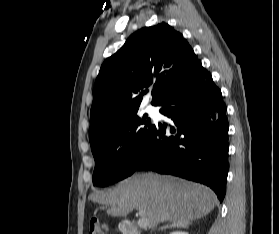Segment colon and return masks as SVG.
Returning <instances> with one entry per match:
<instances>
[{"mask_svg": "<svg viewBox=\"0 0 279 234\" xmlns=\"http://www.w3.org/2000/svg\"><path fill=\"white\" fill-rule=\"evenodd\" d=\"M107 232L108 226L104 221L98 218L91 219L88 226V234H107Z\"/></svg>", "mask_w": 279, "mask_h": 234, "instance_id": "obj_1", "label": "colon"}]
</instances>
